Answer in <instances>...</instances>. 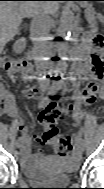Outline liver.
Segmentation results:
<instances>
[{
  "label": "liver",
  "instance_id": "obj_1",
  "mask_svg": "<svg viewBox=\"0 0 104 189\" xmlns=\"http://www.w3.org/2000/svg\"><path fill=\"white\" fill-rule=\"evenodd\" d=\"M57 3L41 1H1L0 3V44L10 41L18 32L24 17L33 16L40 10L55 12Z\"/></svg>",
  "mask_w": 104,
  "mask_h": 189
}]
</instances>
